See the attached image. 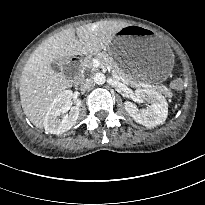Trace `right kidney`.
<instances>
[{"label": "right kidney", "instance_id": "obj_1", "mask_svg": "<svg viewBox=\"0 0 205 205\" xmlns=\"http://www.w3.org/2000/svg\"><path fill=\"white\" fill-rule=\"evenodd\" d=\"M72 96L71 90H64L53 100L44 119L47 133L62 134L75 125L80 110L79 106L71 107ZM61 115H64L62 119Z\"/></svg>", "mask_w": 205, "mask_h": 205}]
</instances>
